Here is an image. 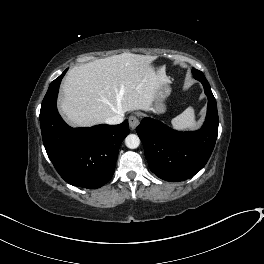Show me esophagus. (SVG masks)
I'll return each instance as SVG.
<instances>
[{
    "label": "esophagus",
    "mask_w": 264,
    "mask_h": 264,
    "mask_svg": "<svg viewBox=\"0 0 264 264\" xmlns=\"http://www.w3.org/2000/svg\"><path fill=\"white\" fill-rule=\"evenodd\" d=\"M128 122L132 130H134L139 125V119L135 115L130 116Z\"/></svg>",
    "instance_id": "obj_1"
}]
</instances>
